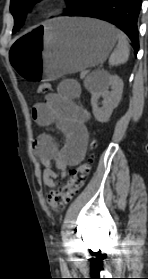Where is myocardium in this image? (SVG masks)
<instances>
[{
  "label": "myocardium",
  "instance_id": "obj_1",
  "mask_svg": "<svg viewBox=\"0 0 148 279\" xmlns=\"http://www.w3.org/2000/svg\"><path fill=\"white\" fill-rule=\"evenodd\" d=\"M58 1L57 0H42L40 2V7L44 10H51L57 7Z\"/></svg>",
  "mask_w": 148,
  "mask_h": 279
}]
</instances>
